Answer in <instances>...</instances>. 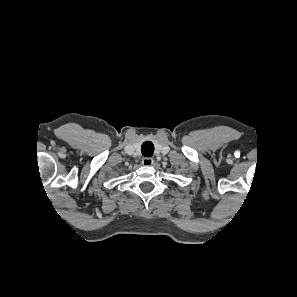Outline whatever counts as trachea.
Returning a JSON list of instances; mask_svg holds the SVG:
<instances>
[{
	"instance_id": "trachea-1",
	"label": "trachea",
	"mask_w": 297,
	"mask_h": 297,
	"mask_svg": "<svg viewBox=\"0 0 297 297\" xmlns=\"http://www.w3.org/2000/svg\"><path fill=\"white\" fill-rule=\"evenodd\" d=\"M154 153V145L150 141H146L142 144V154L144 156L150 157Z\"/></svg>"
}]
</instances>
